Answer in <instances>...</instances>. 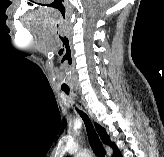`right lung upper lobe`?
<instances>
[{"mask_svg":"<svg viewBox=\"0 0 164 157\" xmlns=\"http://www.w3.org/2000/svg\"><path fill=\"white\" fill-rule=\"evenodd\" d=\"M95 127L103 143L115 149L117 146L115 145L114 142H111L110 137L108 136L106 130L97 123H95Z\"/></svg>","mask_w":164,"mask_h":157,"instance_id":"obj_1","label":"right lung upper lobe"}]
</instances>
